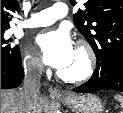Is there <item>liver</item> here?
<instances>
[{
  "label": "liver",
  "mask_w": 123,
  "mask_h": 113,
  "mask_svg": "<svg viewBox=\"0 0 123 113\" xmlns=\"http://www.w3.org/2000/svg\"><path fill=\"white\" fill-rule=\"evenodd\" d=\"M43 108L44 100L40 96L28 107L21 90H1V113H42Z\"/></svg>",
  "instance_id": "6515ba94"
}]
</instances>
